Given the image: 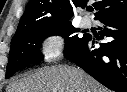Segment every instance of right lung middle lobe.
<instances>
[{"mask_svg":"<svg viewBox=\"0 0 127 92\" xmlns=\"http://www.w3.org/2000/svg\"><path fill=\"white\" fill-rule=\"evenodd\" d=\"M79 30L71 23L59 26H36L28 29L20 36L11 40L9 61L6 69V78L11 77L25 65L43 60L39 46L42 41L51 35H60L65 38V54L79 47L87 38L75 35Z\"/></svg>","mask_w":127,"mask_h":92,"instance_id":"dd1d6c3e","label":"right lung middle lobe"}]
</instances>
